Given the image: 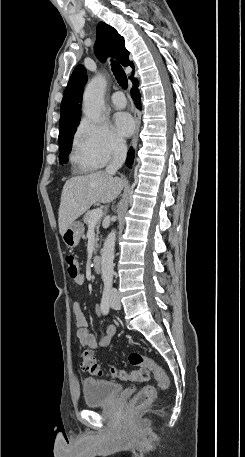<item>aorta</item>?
Wrapping results in <instances>:
<instances>
[{
	"label": "aorta",
	"mask_w": 245,
	"mask_h": 457,
	"mask_svg": "<svg viewBox=\"0 0 245 457\" xmlns=\"http://www.w3.org/2000/svg\"><path fill=\"white\" fill-rule=\"evenodd\" d=\"M105 89L106 80L100 75L93 77L85 89L84 114L94 122H99L101 119ZM115 241L116 231L112 230L105 239L101 250V277L104 285H110L113 280Z\"/></svg>",
	"instance_id": "1"
}]
</instances>
